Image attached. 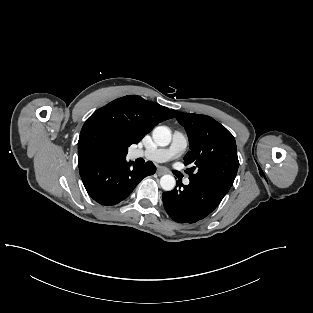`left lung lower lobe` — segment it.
I'll list each match as a JSON object with an SVG mask.
<instances>
[{
  "instance_id": "left-lung-lower-lobe-1",
  "label": "left lung lower lobe",
  "mask_w": 313,
  "mask_h": 313,
  "mask_svg": "<svg viewBox=\"0 0 313 313\" xmlns=\"http://www.w3.org/2000/svg\"><path fill=\"white\" fill-rule=\"evenodd\" d=\"M227 191L207 183L181 182L170 192L162 194L168 215L179 223H194L209 215L221 202Z\"/></svg>"
}]
</instances>
